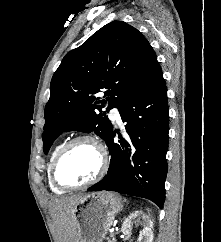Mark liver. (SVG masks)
<instances>
[{
  "label": "liver",
  "mask_w": 221,
  "mask_h": 242,
  "mask_svg": "<svg viewBox=\"0 0 221 242\" xmlns=\"http://www.w3.org/2000/svg\"><path fill=\"white\" fill-rule=\"evenodd\" d=\"M84 197L74 195L56 198L51 202V213L57 235V242H76L77 226L73 217V207Z\"/></svg>",
  "instance_id": "liver-1"
}]
</instances>
